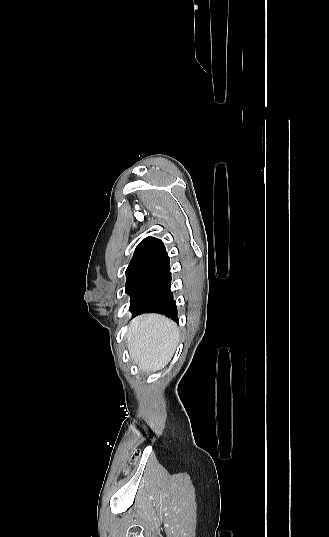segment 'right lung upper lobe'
<instances>
[{"label": "right lung upper lobe", "instance_id": "cb5924a9", "mask_svg": "<svg viewBox=\"0 0 329 537\" xmlns=\"http://www.w3.org/2000/svg\"><path fill=\"white\" fill-rule=\"evenodd\" d=\"M167 255L163 242L154 237H147L136 247L129 265H149Z\"/></svg>", "mask_w": 329, "mask_h": 537}]
</instances>
